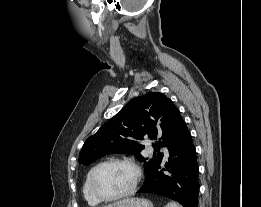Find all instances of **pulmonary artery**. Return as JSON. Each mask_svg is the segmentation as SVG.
Wrapping results in <instances>:
<instances>
[{
    "label": "pulmonary artery",
    "instance_id": "1",
    "mask_svg": "<svg viewBox=\"0 0 261 207\" xmlns=\"http://www.w3.org/2000/svg\"><path fill=\"white\" fill-rule=\"evenodd\" d=\"M165 157L167 158V157H168V155H167V154H165Z\"/></svg>",
    "mask_w": 261,
    "mask_h": 207
}]
</instances>
